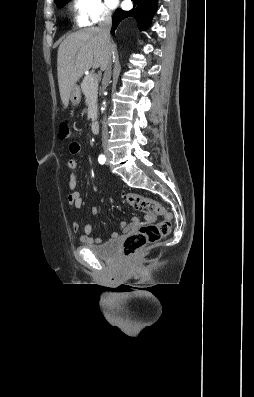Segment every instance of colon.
<instances>
[{"label": "colon", "instance_id": "colon-1", "mask_svg": "<svg viewBox=\"0 0 254 397\" xmlns=\"http://www.w3.org/2000/svg\"><path fill=\"white\" fill-rule=\"evenodd\" d=\"M71 135L66 121L59 124V138L68 139ZM126 202L134 208L147 213L163 216L156 224L141 226L137 231L128 235L123 243V254L131 257L142 248L152 245L168 235L172 227V214L158 201L137 193L125 194Z\"/></svg>", "mask_w": 254, "mask_h": 397}]
</instances>
